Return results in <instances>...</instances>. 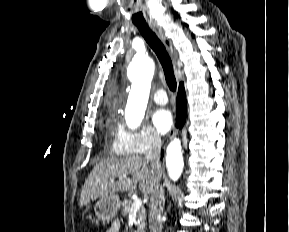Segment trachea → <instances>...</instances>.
Instances as JSON below:
<instances>
[{
    "label": "trachea",
    "instance_id": "obj_1",
    "mask_svg": "<svg viewBox=\"0 0 289 232\" xmlns=\"http://www.w3.org/2000/svg\"><path fill=\"white\" fill-rule=\"evenodd\" d=\"M136 26L146 42L157 55L164 70L166 83L169 89L174 92L177 87V82L173 71L172 61L165 46L147 24H136Z\"/></svg>",
    "mask_w": 289,
    "mask_h": 232
}]
</instances>
